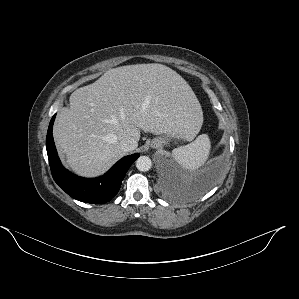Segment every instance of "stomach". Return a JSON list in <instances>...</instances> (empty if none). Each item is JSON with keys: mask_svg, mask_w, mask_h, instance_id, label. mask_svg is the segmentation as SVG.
<instances>
[{"mask_svg": "<svg viewBox=\"0 0 299 299\" xmlns=\"http://www.w3.org/2000/svg\"><path fill=\"white\" fill-rule=\"evenodd\" d=\"M187 140L181 133L165 134L161 137L154 138L151 142V147L156 149H162V147L171 140ZM188 141V140H187Z\"/></svg>", "mask_w": 299, "mask_h": 299, "instance_id": "obj_1", "label": "stomach"}]
</instances>
